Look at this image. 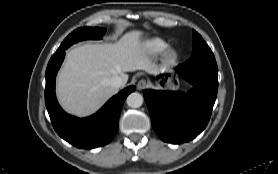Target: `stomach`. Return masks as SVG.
<instances>
[{"mask_svg":"<svg viewBox=\"0 0 278 174\" xmlns=\"http://www.w3.org/2000/svg\"><path fill=\"white\" fill-rule=\"evenodd\" d=\"M164 86L170 90H177L179 88V84H178L177 80L170 76H168L164 80Z\"/></svg>","mask_w":278,"mask_h":174,"instance_id":"1","label":"stomach"}]
</instances>
